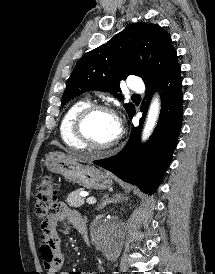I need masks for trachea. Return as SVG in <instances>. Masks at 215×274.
<instances>
[{"instance_id":"3493384b","label":"trachea","mask_w":215,"mask_h":274,"mask_svg":"<svg viewBox=\"0 0 215 274\" xmlns=\"http://www.w3.org/2000/svg\"><path fill=\"white\" fill-rule=\"evenodd\" d=\"M132 97H140L138 94H133Z\"/></svg>"}]
</instances>
